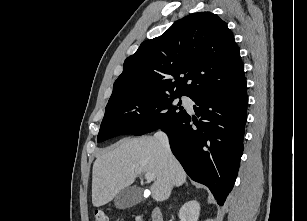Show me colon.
<instances>
[{
	"label": "colon",
	"instance_id": "5ec220e1",
	"mask_svg": "<svg viewBox=\"0 0 307 221\" xmlns=\"http://www.w3.org/2000/svg\"><path fill=\"white\" fill-rule=\"evenodd\" d=\"M93 221H109V217L104 210L98 209L94 213ZM136 221H143V219L138 217L136 218Z\"/></svg>",
	"mask_w": 307,
	"mask_h": 221
}]
</instances>
